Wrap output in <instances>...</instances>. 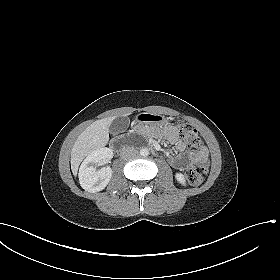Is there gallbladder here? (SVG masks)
Here are the masks:
<instances>
[{
	"label": "gallbladder",
	"instance_id": "bac80fb5",
	"mask_svg": "<svg viewBox=\"0 0 280 280\" xmlns=\"http://www.w3.org/2000/svg\"><path fill=\"white\" fill-rule=\"evenodd\" d=\"M130 120L126 116H118L111 123L109 130L112 134L124 132L129 126Z\"/></svg>",
	"mask_w": 280,
	"mask_h": 280
}]
</instances>
